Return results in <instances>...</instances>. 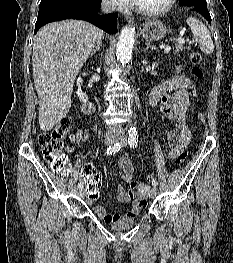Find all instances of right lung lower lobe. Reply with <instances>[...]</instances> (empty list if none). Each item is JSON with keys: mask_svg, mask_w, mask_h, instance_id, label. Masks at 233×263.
<instances>
[{"mask_svg": "<svg viewBox=\"0 0 233 263\" xmlns=\"http://www.w3.org/2000/svg\"><path fill=\"white\" fill-rule=\"evenodd\" d=\"M100 7L101 0H79L77 6L71 13L54 15L41 21H37L34 33H36L40 27L49 22L69 18L86 20L109 34L116 33L118 14L110 13L107 15H99L97 13L100 11Z\"/></svg>", "mask_w": 233, "mask_h": 263, "instance_id": "98d812e1", "label": "right lung lower lobe"}]
</instances>
